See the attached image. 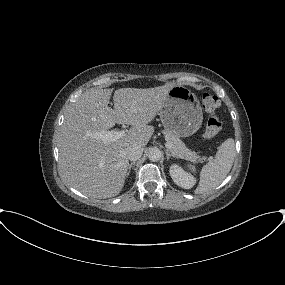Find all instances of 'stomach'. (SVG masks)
Wrapping results in <instances>:
<instances>
[{
    "label": "stomach",
    "instance_id": "1",
    "mask_svg": "<svg viewBox=\"0 0 285 285\" xmlns=\"http://www.w3.org/2000/svg\"><path fill=\"white\" fill-rule=\"evenodd\" d=\"M159 115L165 130L178 137L193 135L203 120L198 98L188 88L180 85L169 91Z\"/></svg>",
    "mask_w": 285,
    "mask_h": 285
}]
</instances>
